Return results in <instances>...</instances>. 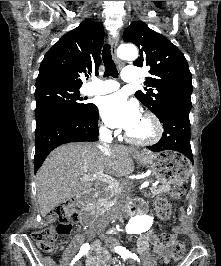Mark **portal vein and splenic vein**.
<instances>
[{"instance_id":"portal-vein-and-splenic-vein-1","label":"portal vein and splenic vein","mask_w":221,"mask_h":266,"mask_svg":"<svg viewBox=\"0 0 221 266\" xmlns=\"http://www.w3.org/2000/svg\"><path fill=\"white\" fill-rule=\"evenodd\" d=\"M81 181H89V180H100L102 182L108 183L112 186H118V182L116 179L109 175H105L103 171H100L93 175H84L81 179ZM157 184H153V187H156Z\"/></svg>"}]
</instances>
